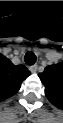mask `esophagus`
<instances>
[{
	"instance_id": "obj_1",
	"label": "esophagus",
	"mask_w": 63,
	"mask_h": 123,
	"mask_svg": "<svg viewBox=\"0 0 63 123\" xmlns=\"http://www.w3.org/2000/svg\"><path fill=\"white\" fill-rule=\"evenodd\" d=\"M30 71L32 72V73H35L36 71H37V69H38V66L36 65V64H34V65H32V66H30Z\"/></svg>"
}]
</instances>
